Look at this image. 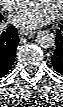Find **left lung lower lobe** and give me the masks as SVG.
<instances>
[{"instance_id":"left-lung-lower-lobe-1","label":"left lung lower lobe","mask_w":63,"mask_h":107,"mask_svg":"<svg viewBox=\"0 0 63 107\" xmlns=\"http://www.w3.org/2000/svg\"><path fill=\"white\" fill-rule=\"evenodd\" d=\"M54 69L63 75V21L56 35V50L52 56Z\"/></svg>"}]
</instances>
